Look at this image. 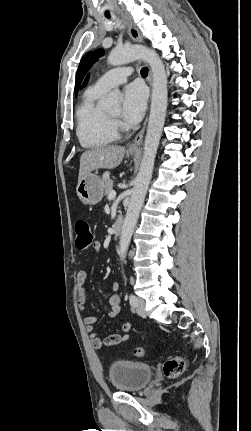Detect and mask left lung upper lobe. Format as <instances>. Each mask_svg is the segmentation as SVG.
<instances>
[{
	"mask_svg": "<svg viewBox=\"0 0 251 431\" xmlns=\"http://www.w3.org/2000/svg\"><path fill=\"white\" fill-rule=\"evenodd\" d=\"M104 54L103 49H97L95 51L88 52L86 55H84L81 59V62L79 64L77 74H76V84H75V94L77 95L79 86L81 84V81L87 71L90 69L92 64L95 63V61L101 57Z\"/></svg>",
	"mask_w": 251,
	"mask_h": 431,
	"instance_id": "5c2ea615",
	"label": "left lung upper lobe"
}]
</instances>
